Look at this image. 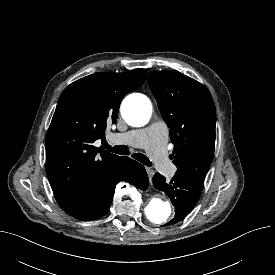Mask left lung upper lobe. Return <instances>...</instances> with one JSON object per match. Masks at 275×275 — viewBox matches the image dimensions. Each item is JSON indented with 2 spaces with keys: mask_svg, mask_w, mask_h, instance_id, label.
<instances>
[{
  "mask_svg": "<svg viewBox=\"0 0 275 275\" xmlns=\"http://www.w3.org/2000/svg\"><path fill=\"white\" fill-rule=\"evenodd\" d=\"M148 84L170 128L176 173L204 182L215 147L216 109L210 92L177 71H152Z\"/></svg>",
  "mask_w": 275,
  "mask_h": 275,
  "instance_id": "obj_1",
  "label": "left lung upper lobe"
}]
</instances>
